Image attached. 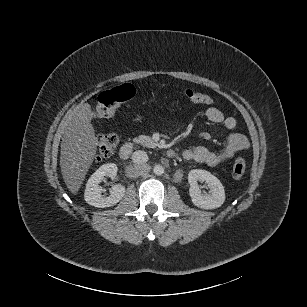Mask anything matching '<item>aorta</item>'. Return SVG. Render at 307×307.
I'll list each match as a JSON object with an SVG mask.
<instances>
[{"label":"aorta","mask_w":307,"mask_h":307,"mask_svg":"<svg viewBox=\"0 0 307 307\" xmlns=\"http://www.w3.org/2000/svg\"><path fill=\"white\" fill-rule=\"evenodd\" d=\"M154 173L157 176H161L164 174V167L162 165H156L154 167Z\"/></svg>","instance_id":"1"}]
</instances>
